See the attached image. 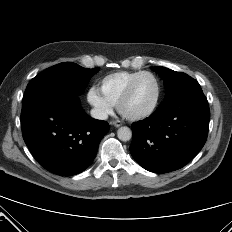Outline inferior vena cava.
I'll return each instance as SVG.
<instances>
[{
	"label": "inferior vena cava",
	"instance_id": "602c4592",
	"mask_svg": "<svg viewBox=\"0 0 232 232\" xmlns=\"http://www.w3.org/2000/svg\"><path fill=\"white\" fill-rule=\"evenodd\" d=\"M91 116L99 120H106L108 118V114L105 111L97 108L91 110Z\"/></svg>",
	"mask_w": 232,
	"mask_h": 232
}]
</instances>
